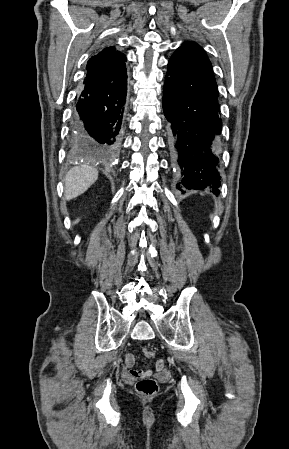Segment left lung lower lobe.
Listing matches in <instances>:
<instances>
[{
    "label": "left lung lower lobe",
    "instance_id": "obj_1",
    "mask_svg": "<svg viewBox=\"0 0 289 449\" xmlns=\"http://www.w3.org/2000/svg\"><path fill=\"white\" fill-rule=\"evenodd\" d=\"M218 88L204 52L179 47L168 63L163 90V110L168 120V144L180 167L176 187L218 195L221 184L218 137Z\"/></svg>",
    "mask_w": 289,
    "mask_h": 449
}]
</instances>
